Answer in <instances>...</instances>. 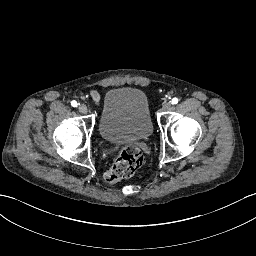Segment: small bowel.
I'll list each match as a JSON object with an SVG mask.
<instances>
[{"instance_id":"c3829d8e","label":"small bowel","mask_w":256,"mask_h":256,"mask_svg":"<svg viewBox=\"0 0 256 256\" xmlns=\"http://www.w3.org/2000/svg\"><path fill=\"white\" fill-rule=\"evenodd\" d=\"M90 97L91 99L94 101V102H99V99H100V95L97 91H91L90 92Z\"/></svg>"}]
</instances>
